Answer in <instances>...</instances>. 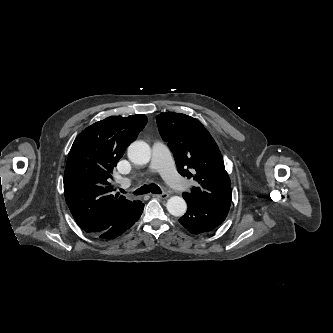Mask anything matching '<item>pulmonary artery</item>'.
Instances as JSON below:
<instances>
[{"label":"pulmonary artery","instance_id":"obj_1","mask_svg":"<svg viewBox=\"0 0 333 333\" xmlns=\"http://www.w3.org/2000/svg\"><path fill=\"white\" fill-rule=\"evenodd\" d=\"M150 171L159 172L164 180L172 187L185 189L187 184L176 172L168 147L161 141H156L152 147Z\"/></svg>","mask_w":333,"mask_h":333}]
</instances>
